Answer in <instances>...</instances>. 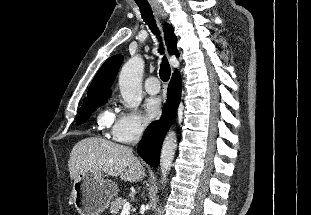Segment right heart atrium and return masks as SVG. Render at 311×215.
Segmentation results:
<instances>
[{
    "mask_svg": "<svg viewBox=\"0 0 311 215\" xmlns=\"http://www.w3.org/2000/svg\"><path fill=\"white\" fill-rule=\"evenodd\" d=\"M100 124L109 129V136L119 143L138 140L145 131L141 117L132 111L108 113L100 118Z\"/></svg>",
    "mask_w": 311,
    "mask_h": 215,
    "instance_id": "obj_1",
    "label": "right heart atrium"
}]
</instances>
